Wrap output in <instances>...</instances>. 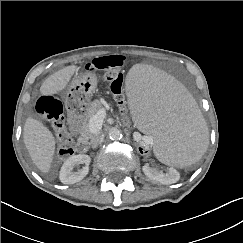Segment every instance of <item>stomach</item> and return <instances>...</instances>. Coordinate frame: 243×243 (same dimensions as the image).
<instances>
[{
	"mask_svg": "<svg viewBox=\"0 0 243 243\" xmlns=\"http://www.w3.org/2000/svg\"><path fill=\"white\" fill-rule=\"evenodd\" d=\"M97 85V76L90 72L72 81L64 95V103L70 119L81 118L85 115L89 99Z\"/></svg>",
	"mask_w": 243,
	"mask_h": 243,
	"instance_id": "stomach-1",
	"label": "stomach"
}]
</instances>
